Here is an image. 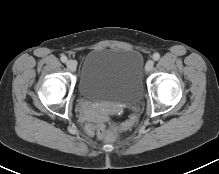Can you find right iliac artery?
Returning a JSON list of instances; mask_svg holds the SVG:
<instances>
[{
	"instance_id": "right-iliac-artery-1",
	"label": "right iliac artery",
	"mask_w": 219,
	"mask_h": 174,
	"mask_svg": "<svg viewBox=\"0 0 219 174\" xmlns=\"http://www.w3.org/2000/svg\"><path fill=\"white\" fill-rule=\"evenodd\" d=\"M61 61H62L63 63H66V62H67V57H66L65 55H62V56H61Z\"/></svg>"
}]
</instances>
